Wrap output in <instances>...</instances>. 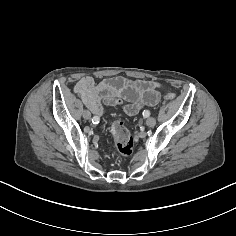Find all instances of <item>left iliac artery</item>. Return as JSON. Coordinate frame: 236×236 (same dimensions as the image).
Wrapping results in <instances>:
<instances>
[{
  "mask_svg": "<svg viewBox=\"0 0 236 236\" xmlns=\"http://www.w3.org/2000/svg\"><path fill=\"white\" fill-rule=\"evenodd\" d=\"M150 115V112L148 110L143 111V116L148 117Z\"/></svg>",
  "mask_w": 236,
  "mask_h": 236,
  "instance_id": "obj_1",
  "label": "left iliac artery"
}]
</instances>
